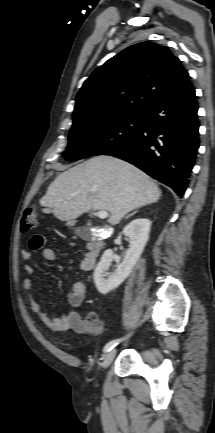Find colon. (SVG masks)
I'll return each instance as SVG.
<instances>
[{"label": "colon", "instance_id": "obj_1", "mask_svg": "<svg viewBox=\"0 0 215 433\" xmlns=\"http://www.w3.org/2000/svg\"><path fill=\"white\" fill-rule=\"evenodd\" d=\"M40 218L35 206H29L24 210L21 219V231L29 232L36 229L39 226ZM87 320L90 324L96 322V316L94 314H89Z\"/></svg>", "mask_w": 215, "mask_h": 433}]
</instances>
